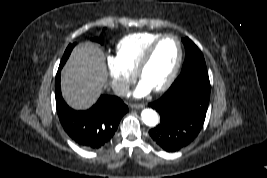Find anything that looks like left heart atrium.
<instances>
[{
  "mask_svg": "<svg viewBox=\"0 0 267 178\" xmlns=\"http://www.w3.org/2000/svg\"><path fill=\"white\" fill-rule=\"evenodd\" d=\"M152 88L143 80L138 84L133 92V96L136 98H142L150 93Z\"/></svg>",
  "mask_w": 267,
  "mask_h": 178,
  "instance_id": "39dd6f15",
  "label": "left heart atrium"
}]
</instances>
